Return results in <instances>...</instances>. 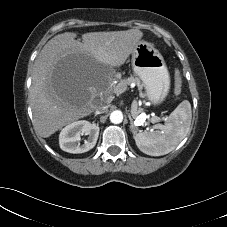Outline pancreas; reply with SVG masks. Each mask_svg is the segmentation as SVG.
<instances>
[{
    "label": "pancreas",
    "instance_id": "cf45deb5",
    "mask_svg": "<svg viewBox=\"0 0 227 227\" xmlns=\"http://www.w3.org/2000/svg\"><path fill=\"white\" fill-rule=\"evenodd\" d=\"M132 83L138 87V89L141 93V96H144V94L142 93L143 83L141 82V80L138 77H133V76L128 77L127 79L121 80L119 84L122 86V88L126 89L127 86Z\"/></svg>",
    "mask_w": 227,
    "mask_h": 227
}]
</instances>
